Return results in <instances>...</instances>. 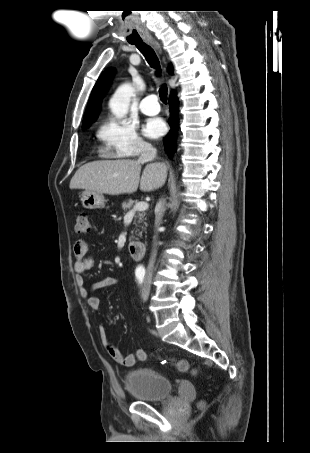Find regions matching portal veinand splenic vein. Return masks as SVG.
<instances>
[{"instance_id": "obj_1", "label": "portal vein and splenic vein", "mask_w": 310, "mask_h": 453, "mask_svg": "<svg viewBox=\"0 0 310 453\" xmlns=\"http://www.w3.org/2000/svg\"><path fill=\"white\" fill-rule=\"evenodd\" d=\"M149 207L148 203L146 202H139L136 203L132 210H130L127 214L131 215L134 214L136 211H145Z\"/></svg>"}]
</instances>
